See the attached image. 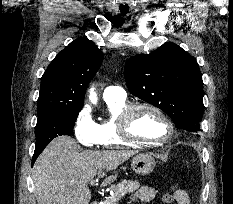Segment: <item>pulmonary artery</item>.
<instances>
[{
	"label": "pulmonary artery",
	"instance_id": "pulmonary-artery-1",
	"mask_svg": "<svg viewBox=\"0 0 233 204\" xmlns=\"http://www.w3.org/2000/svg\"><path fill=\"white\" fill-rule=\"evenodd\" d=\"M103 98H104V100L125 99L126 98V92L120 86L110 85V86H108V87H106L104 89Z\"/></svg>",
	"mask_w": 233,
	"mask_h": 204
}]
</instances>
